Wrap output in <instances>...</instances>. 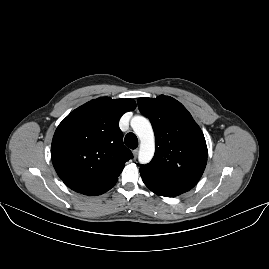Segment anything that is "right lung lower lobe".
<instances>
[{
	"label": "right lung lower lobe",
	"instance_id": "1",
	"mask_svg": "<svg viewBox=\"0 0 269 269\" xmlns=\"http://www.w3.org/2000/svg\"><path fill=\"white\" fill-rule=\"evenodd\" d=\"M114 185L115 184H113L112 186L106 187V188H101V189H96V190H92V191H87V192H84L82 194H85V195H100V194L105 193L109 189H111Z\"/></svg>",
	"mask_w": 269,
	"mask_h": 269
}]
</instances>
